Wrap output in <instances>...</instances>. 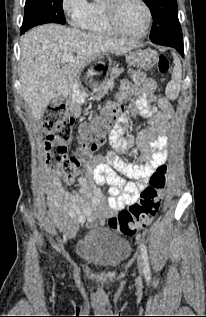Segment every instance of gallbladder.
Returning a JSON list of instances; mask_svg holds the SVG:
<instances>
[{
    "mask_svg": "<svg viewBox=\"0 0 206 317\" xmlns=\"http://www.w3.org/2000/svg\"><path fill=\"white\" fill-rule=\"evenodd\" d=\"M63 101V98L62 97H58L56 99H54L52 102H51V105L53 106H56L57 104H59L60 102Z\"/></svg>",
    "mask_w": 206,
    "mask_h": 317,
    "instance_id": "1",
    "label": "gallbladder"
}]
</instances>
